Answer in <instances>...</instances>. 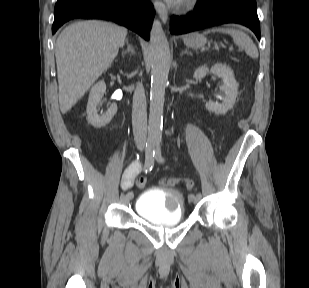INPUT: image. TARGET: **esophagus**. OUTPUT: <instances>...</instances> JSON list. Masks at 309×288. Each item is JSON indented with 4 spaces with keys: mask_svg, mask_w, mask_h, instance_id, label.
Wrapping results in <instances>:
<instances>
[{
    "mask_svg": "<svg viewBox=\"0 0 309 288\" xmlns=\"http://www.w3.org/2000/svg\"><path fill=\"white\" fill-rule=\"evenodd\" d=\"M154 8L156 10V12L159 14L162 22H166L168 19V11L165 7V5L159 1V0H155L154 1Z\"/></svg>",
    "mask_w": 309,
    "mask_h": 288,
    "instance_id": "34e87169",
    "label": "esophagus"
}]
</instances>
